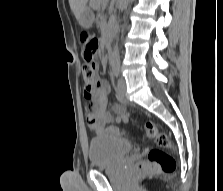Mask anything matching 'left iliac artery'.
Returning a JSON list of instances; mask_svg holds the SVG:
<instances>
[{
	"label": "left iliac artery",
	"instance_id": "44dca946",
	"mask_svg": "<svg viewBox=\"0 0 223 191\" xmlns=\"http://www.w3.org/2000/svg\"><path fill=\"white\" fill-rule=\"evenodd\" d=\"M119 70H120V65L119 64H114L113 65V72H114L116 77H118V75H119Z\"/></svg>",
	"mask_w": 223,
	"mask_h": 191
}]
</instances>
